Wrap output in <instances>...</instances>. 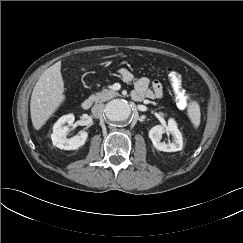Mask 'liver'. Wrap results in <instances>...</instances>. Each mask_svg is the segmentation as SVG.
<instances>
[{"label":"liver","instance_id":"1","mask_svg":"<svg viewBox=\"0 0 243 243\" xmlns=\"http://www.w3.org/2000/svg\"><path fill=\"white\" fill-rule=\"evenodd\" d=\"M64 101V81L61 75V62L58 61L41 74L34 86L30 101L34 128L41 129Z\"/></svg>","mask_w":243,"mask_h":243}]
</instances>
